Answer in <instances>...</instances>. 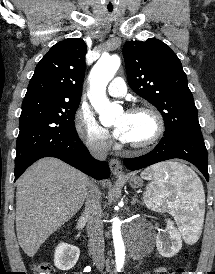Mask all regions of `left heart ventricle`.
<instances>
[{"label": "left heart ventricle", "instance_id": "left-heart-ventricle-1", "mask_svg": "<svg viewBox=\"0 0 215 274\" xmlns=\"http://www.w3.org/2000/svg\"><path fill=\"white\" fill-rule=\"evenodd\" d=\"M123 117L126 120L125 142L139 143L149 139L155 130V124L147 113H128L117 117L115 123Z\"/></svg>", "mask_w": 215, "mask_h": 274}]
</instances>
